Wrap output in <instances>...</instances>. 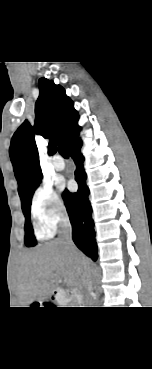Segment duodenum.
I'll list each match as a JSON object with an SVG mask.
<instances>
[{"label":"duodenum","mask_w":152,"mask_h":369,"mask_svg":"<svg viewBox=\"0 0 152 369\" xmlns=\"http://www.w3.org/2000/svg\"><path fill=\"white\" fill-rule=\"evenodd\" d=\"M55 298L57 300L59 299H66V300H72V299H79L80 298V294L78 293L77 290L75 289H72V290H69L67 292H56L55 294Z\"/></svg>","instance_id":"410a0bca"}]
</instances>
